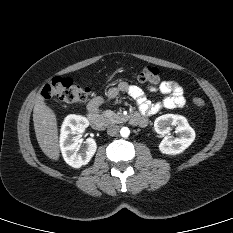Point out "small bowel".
I'll return each mask as SVG.
<instances>
[{"mask_svg": "<svg viewBox=\"0 0 233 233\" xmlns=\"http://www.w3.org/2000/svg\"><path fill=\"white\" fill-rule=\"evenodd\" d=\"M149 91H158L164 98L160 102L153 103L147 99L144 91L125 81L119 83L117 88H112L108 92L110 98H115L119 92L127 93L138 104L140 116L147 117L154 115L164 109H175L185 105V91L182 86L174 81H162L157 87H149ZM103 103L101 97H96L88 104L90 111L97 112Z\"/></svg>", "mask_w": 233, "mask_h": 233, "instance_id": "small-bowel-1", "label": "small bowel"}]
</instances>
